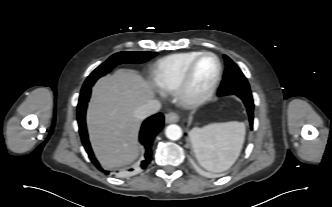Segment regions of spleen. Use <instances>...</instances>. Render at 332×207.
Instances as JSON below:
<instances>
[{"label":"spleen","instance_id":"3e777b00","mask_svg":"<svg viewBox=\"0 0 332 207\" xmlns=\"http://www.w3.org/2000/svg\"><path fill=\"white\" fill-rule=\"evenodd\" d=\"M199 164L208 171L223 172L237 160L245 138V125L232 121L193 128L190 133Z\"/></svg>","mask_w":332,"mask_h":207}]
</instances>
